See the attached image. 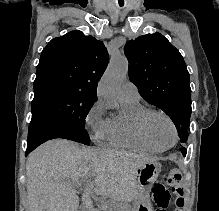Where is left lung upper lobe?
Wrapping results in <instances>:
<instances>
[{
  "mask_svg": "<svg viewBox=\"0 0 219 211\" xmlns=\"http://www.w3.org/2000/svg\"><path fill=\"white\" fill-rule=\"evenodd\" d=\"M129 78L148 103L174 122L180 142L188 138L191 115L189 73L180 52L160 33L130 40L124 47Z\"/></svg>",
  "mask_w": 219,
  "mask_h": 211,
  "instance_id": "1",
  "label": "left lung upper lobe"
}]
</instances>
